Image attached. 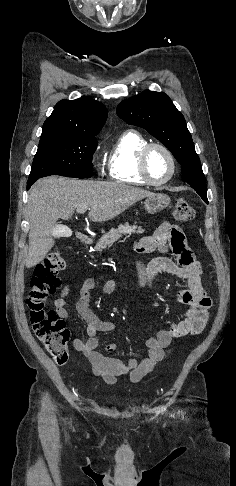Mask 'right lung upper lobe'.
<instances>
[{
	"mask_svg": "<svg viewBox=\"0 0 236 486\" xmlns=\"http://www.w3.org/2000/svg\"><path fill=\"white\" fill-rule=\"evenodd\" d=\"M107 118L106 107L89 97L61 100L43 124V132L95 137Z\"/></svg>",
	"mask_w": 236,
	"mask_h": 486,
	"instance_id": "cb5924a9",
	"label": "right lung upper lobe"
}]
</instances>
